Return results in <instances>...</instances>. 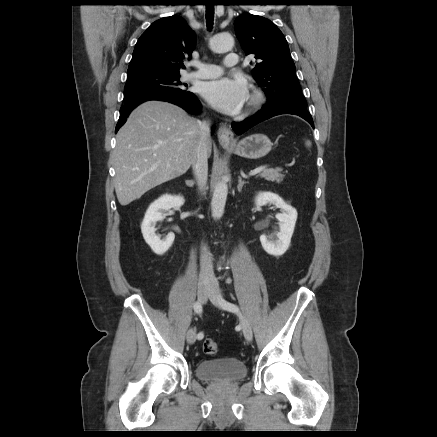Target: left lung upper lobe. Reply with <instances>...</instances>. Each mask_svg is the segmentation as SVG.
<instances>
[{"label":"left lung upper lobe","mask_w":437,"mask_h":437,"mask_svg":"<svg viewBox=\"0 0 437 437\" xmlns=\"http://www.w3.org/2000/svg\"><path fill=\"white\" fill-rule=\"evenodd\" d=\"M236 36L246 55L257 63L253 76L268 102L264 107L292 105L306 108L287 41L269 19L245 13L234 22Z\"/></svg>","instance_id":"obj_1"}]
</instances>
